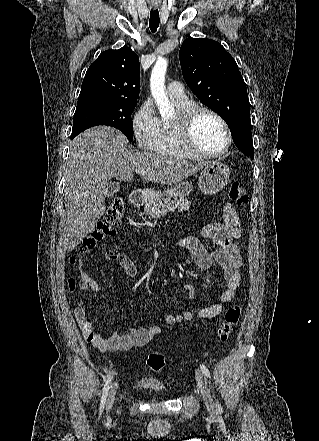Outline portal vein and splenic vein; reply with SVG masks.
<instances>
[{
  "instance_id": "portal-vein-and-splenic-vein-1",
  "label": "portal vein and splenic vein",
  "mask_w": 319,
  "mask_h": 441,
  "mask_svg": "<svg viewBox=\"0 0 319 441\" xmlns=\"http://www.w3.org/2000/svg\"><path fill=\"white\" fill-rule=\"evenodd\" d=\"M134 171L136 174H142L144 172L141 168H135Z\"/></svg>"
}]
</instances>
